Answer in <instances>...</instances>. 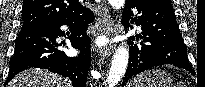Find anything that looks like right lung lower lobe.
Segmentation results:
<instances>
[{"instance_id": "obj_1", "label": "right lung lower lobe", "mask_w": 205, "mask_h": 87, "mask_svg": "<svg viewBox=\"0 0 205 87\" xmlns=\"http://www.w3.org/2000/svg\"><path fill=\"white\" fill-rule=\"evenodd\" d=\"M93 20V12L83 8L65 20L21 30L5 84L26 69L41 68L70 79L73 87H86L91 64L90 38L86 31ZM62 25L72 29L69 40L71 46L80 51L79 56L68 57L64 51L57 49V37L65 36L60 29Z\"/></svg>"}]
</instances>
